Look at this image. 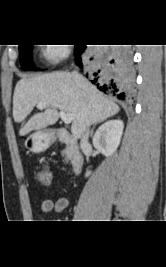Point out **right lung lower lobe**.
I'll return each instance as SVG.
<instances>
[{"label": "right lung lower lobe", "instance_id": "1", "mask_svg": "<svg viewBox=\"0 0 166 267\" xmlns=\"http://www.w3.org/2000/svg\"><path fill=\"white\" fill-rule=\"evenodd\" d=\"M86 45H75L77 64L82 67ZM131 53L126 47H111L104 55L89 58L85 64L86 77L106 94L126 100L132 88Z\"/></svg>", "mask_w": 166, "mask_h": 267}]
</instances>
